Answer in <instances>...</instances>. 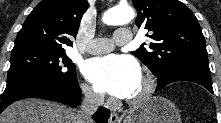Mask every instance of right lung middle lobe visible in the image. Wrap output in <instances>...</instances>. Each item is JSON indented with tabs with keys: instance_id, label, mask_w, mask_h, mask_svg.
Here are the masks:
<instances>
[{
	"instance_id": "dd1d6c3e",
	"label": "right lung middle lobe",
	"mask_w": 221,
	"mask_h": 123,
	"mask_svg": "<svg viewBox=\"0 0 221 123\" xmlns=\"http://www.w3.org/2000/svg\"><path fill=\"white\" fill-rule=\"evenodd\" d=\"M28 79L44 83L71 82L76 79V66L65 50L31 48L11 52L7 84Z\"/></svg>"
}]
</instances>
